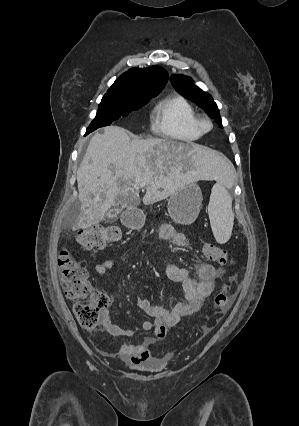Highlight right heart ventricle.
I'll use <instances>...</instances> for the list:
<instances>
[{"mask_svg":"<svg viewBox=\"0 0 299 426\" xmlns=\"http://www.w3.org/2000/svg\"><path fill=\"white\" fill-rule=\"evenodd\" d=\"M198 115L194 107L182 96L162 99L153 110V130L169 139L191 142L202 133L197 127Z\"/></svg>","mask_w":299,"mask_h":426,"instance_id":"e07e8e85","label":"right heart ventricle"}]
</instances>
